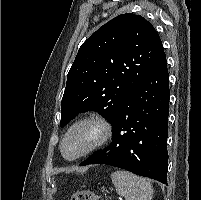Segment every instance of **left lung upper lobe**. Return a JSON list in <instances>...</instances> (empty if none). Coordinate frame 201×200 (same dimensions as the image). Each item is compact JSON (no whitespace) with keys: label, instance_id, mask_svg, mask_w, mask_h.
Wrapping results in <instances>:
<instances>
[{"label":"left lung upper lobe","instance_id":"5c2ea615","mask_svg":"<svg viewBox=\"0 0 201 200\" xmlns=\"http://www.w3.org/2000/svg\"><path fill=\"white\" fill-rule=\"evenodd\" d=\"M155 28L140 15L122 14L79 48L61 101V127L96 111L110 123L122 102L164 55Z\"/></svg>","mask_w":201,"mask_h":200}]
</instances>
